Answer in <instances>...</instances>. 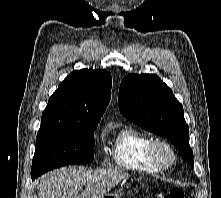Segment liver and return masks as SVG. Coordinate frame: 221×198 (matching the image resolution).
I'll return each mask as SVG.
<instances>
[{"label": "liver", "mask_w": 221, "mask_h": 198, "mask_svg": "<svg viewBox=\"0 0 221 198\" xmlns=\"http://www.w3.org/2000/svg\"><path fill=\"white\" fill-rule=\"evenodd\" d=\"M121 169H67L61 168L40 178L39 198H102L120 181L129 178ZM85 190L80 195L82 187Z\"/></svg>", "instance_id": "6515ba94"}]
</instances>
